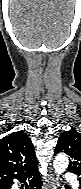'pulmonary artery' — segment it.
<instances>
[{"mask_svg":"<svg viewBox=\"0 0 81 189\" xmlns=\"http://www.w3.org/2000/svg\"><path fill=\"white\" fill-rule=\"evenodd\" d=\"M66 178L71 182L73 187H75V188L78 187V182L73 174H67Z\"/></svg>","mask_w":81,"mask_h":189,"instance_id":"1","label":"pulmonary artery"}]
</instances>
